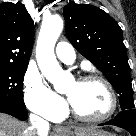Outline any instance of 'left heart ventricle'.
<instances>
[{
    "label": "left heart ventricle",
    "instance_id": "1",
    "mask_svg": "<svg viewBox=\"0 0 136 136\" xmlns=\"http://www.w3.org/2000/svg\"><path fill=\"white\" fill-rule=\"evenodd\" d=\"M74 108L87 117L104 114L110 106V97L105 86L98 81L71 82L65 89Z\"/></svg>",
    "mask_w": 136,
    "mask_h": 136
}]
</instances>
